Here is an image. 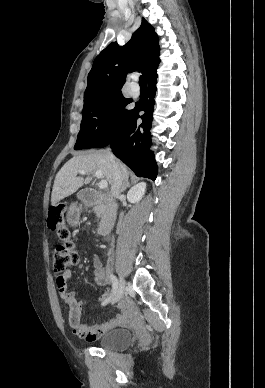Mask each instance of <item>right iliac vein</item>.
Listing matches in <instances>:
<instances>
[{
  "mask_svg": "<svg viewBox=\"0 0 265 388\" xmlns=\"http://www.w3.org/2000/svg\"><path fill=\"white\" fill-rule=\"evenodd\" d=\"M125 287H126V281L123 277H120L119 286L112 301L113 303H116L118 300L122 298L125 291Z\"/></svg>",
  "mask_w": 265,
  "mask_h": 388,
  "instance_id": "obj_1",
  "label": "right iliac vein"
}]
</instances>
